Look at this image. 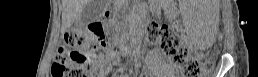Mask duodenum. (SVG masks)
Here are the masks:
<instances>
[{
	"label": "duodenum",
	"mask_w": 258,
	"mask_h": 77,
	"mask_svg": "<svg viewBox=\"0 0 258 77\" xmlns=\"http://www.w3.org/2000/svg\"><path fill=\"white\" fill-rule=\"evenodd\" d=\"M106 15H108V13H106ZM98 27H100V23L96 24L94 27H93V30H96L98 29ZM120 44H124V39L121 37L120 40H117L116 43H114L115 46H118Z\"/></svg>",
	"instance_id": "obj_1"
}]
</instances>
